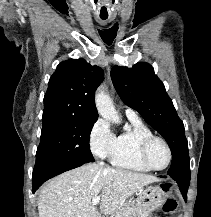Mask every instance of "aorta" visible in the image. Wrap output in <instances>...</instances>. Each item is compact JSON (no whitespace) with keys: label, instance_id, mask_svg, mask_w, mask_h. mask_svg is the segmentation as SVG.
<instances>
[{"label":"aorta","instance_id":"aorta-1","mask_svg":"<svg viewBox=\"0 0 211 217\" xmlns=\"http://www.w3.org/2000/svg\"><path fill=\"white\" fill-rule=\"evenodd\" d=\"M95 103L100 116L113 123H120L121 118L116 112L110 96L104 91V89H100L96 93Z\"/></svg>","mask_w":211,"mask_h":217}]
</instances>
